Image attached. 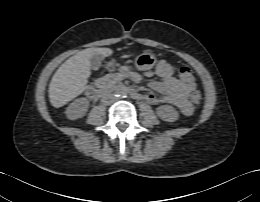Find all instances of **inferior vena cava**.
I'll use <instances>...</instances> for the list:
<instances>
[{"label": "inferior vena cava", "mask_w": 260, "mask_h": 202, "mask_svg": "<svg viewBox=\"0 0 260 202\" xmlns=\"http://www.w3.org/2000/svg\"><path fill=\"white\" fill-rule=\"evenodd\" d=\"M115 101H116V97L113 94H105L101 99V102L106 105H109Z\"/></svg>", "instance_id": "602c4592"}]
</instances>
